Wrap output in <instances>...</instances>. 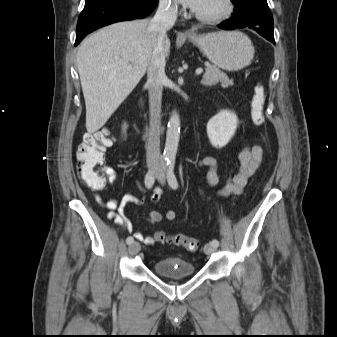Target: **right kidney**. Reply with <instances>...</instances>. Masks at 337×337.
Segmentation results:
<instances>
[{"instance_id": "obj_1", "label": "right kidney", "mask_w": 337, "mask_h": 337, "mask_svg": "<svg viewBox=\"0 0 337 337\" xmlns=\"http://www.w3.org/2000/svg\"><path fill=\"white\" fill-rule=\"evenodd\" d=\"M126 129V125H124V130Z\"/></svg>"}]
</instances>
